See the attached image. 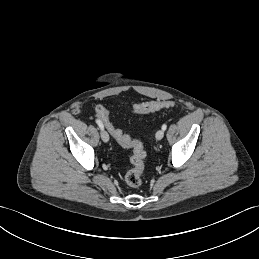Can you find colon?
<instances>
[{
  "label": "colon",
  "instance_id": "colon-1",
  "mask_svg": "<svg viewBox=\"0 0 259 259\" xmlns=\"http://www.w3.org/2000/svg\"><path fill=\"white\" fill-rule=\"evenodd\" d=\"M171 106H173L172 101L159 100L134 105L130 108V111L137 114H145ZM97 116L119 144H121L123 147L132 149V156L130 158L131 168L125 175V181L130 187H139L142 184V175L145 168L144 160L146 152L144 150L143 144L141 141L132 139L130 136L124 134L121 130L115 128L109 120L108 110L106 108L99 107L97 109Z\"/></svg>",
  "mask_w": 259,
  "mask_h": 259
}]
</instances>
